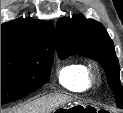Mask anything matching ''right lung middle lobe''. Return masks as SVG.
I'll return each mask as SVG.
<instances>
[{
    "mask_svg": "<svg viewBox=\"0 0 123 113\" xmlns=\"http://www.w3.org/2000/svg\"><path fill=\"white\" fill-rule=\"evenodd\" d=\"M53 53L46 44L1 45V105L47 83Z\"/></svg>",
    "mask_w": 123,
    "mask_h": 113,
    "instance_id": "right-lung-middle-lobe-1",
    "label": "right lung middle lobe"
}]
</instances>
